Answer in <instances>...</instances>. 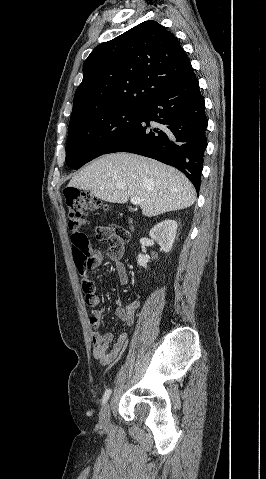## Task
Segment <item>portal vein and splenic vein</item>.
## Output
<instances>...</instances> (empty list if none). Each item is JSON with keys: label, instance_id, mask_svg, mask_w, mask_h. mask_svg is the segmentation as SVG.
Returning <instances> with one entry per match:
<instances>
[{"label": "portal vein and splenic vein", "instance_id": "1", "mask_svg": "<svg viewBox=\"0 0 266 479\" xmlns=\"http://www.w3.org/2000/svg\"><path fill=\"white\" fill-rule=\"evenodd\" d=\"M130 202L133 204V205H138L142 202V200L139 198V197H132L130 199Z\"/></svg>", "mask_w": 266, "mask_h": 479}]
</instances>
